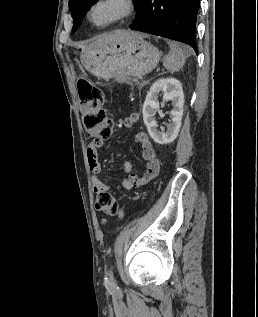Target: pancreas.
Wrapping results in <instances>:
<instances>
[{
  "mask_svg": "<svg viewBox=\"0 0 258 317\" xmlns=\"http://www.w3.org/2000/svg\"><path fill=\"white\" fill-rule=\"evenodd\" d=\"M129 84H131V86H134L133 82H129Z\"/></svg>",
  "mask_w": 258,
  "mask_h": 317,
  "instance_id": "pancreas-1",
  "label": "pancreas"
}]
</instances>
